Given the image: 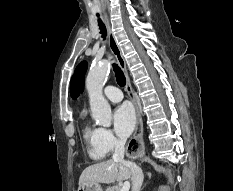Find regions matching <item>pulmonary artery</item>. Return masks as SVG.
Returning a JSON list of instances; mask_svg holds the SVG:
<instances>
[{
	"label": "pulmonary artery",
	"instance_id": "1",
	"mask_svg": "<svg viewBox=\"0 0 233 191\" xmlns=\"http://www.w3.org/2000/svg\"><path fill=\"white\" fill-rule=\"evenodd\" d=\"M105 97L114 103L120 102L123 98L121 90L115 86H107L104 90Z\"/></svg>",
	"mask_w": 233,
	"mask_h": 191
}]
</instances>
